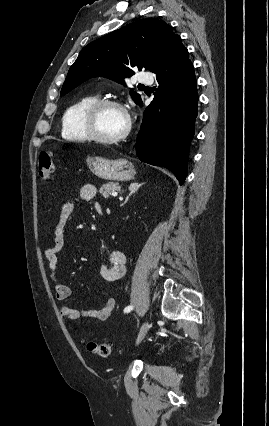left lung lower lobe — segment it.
I'll use <instances>...</instances> for the list:
<instances>
[{
    "mask_svg": "<svg viewBox=\"0 0 269 426\" xmlns=\"http://www.w3.org/2000/svg\"><path fill=\"white\" fill-rule=\"evenodd\" d=\"M150 71L156 74L158 88L144 111L136 154L143 162L172 171L182 185L187 176L198 93L194 67L180 36Z\"/></svg>",
    "mask_w": 269,
    "mask_h": 426,
    "instance_id": "1",
    "label": "left lung lower lobe"
}]
</instances>
